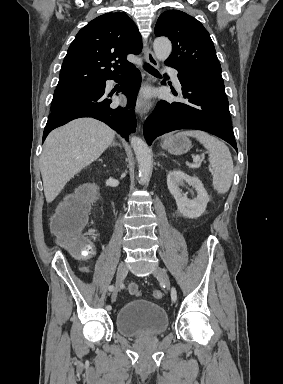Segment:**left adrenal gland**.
Segmentation results:
<instances>
[{
	"label": "left adrenal gland",
	"instance_id": "1",
	"mask_svg": "<svg viewBox=\"0 0 283 384\" xmlns=\"http://www.w3.org/2000/svg\"><path fill=\"white\" fill-rule=\"evenodd\" d=\"M161 156H165V154H163V152H161Z\"/></svg>",
	"mask_w": 283,
	"mask_h": 384
}]
</instances>
